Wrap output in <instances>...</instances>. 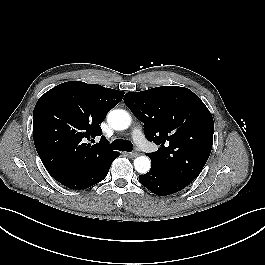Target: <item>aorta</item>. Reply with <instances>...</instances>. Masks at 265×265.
<instances>
[{
  "label": "aorta",
  "instance_id": "obj_1",
  "mask_svg": "<svg viewBox=\"0 0 265 265\" xmlns=\"http://www.w3.org/2000/svg\"><path fill=\"white\" fill-rule=\"evenodd\" d=\"M107 122L115 130H125L131 125V116L125 110L115 109L108 113ZM134 167L137 172L145 174L150 170V159L139 156L134 160Z\"/></svg>",
  "mask_w": 265,
  "mask_h": 265
}]
</instances>
